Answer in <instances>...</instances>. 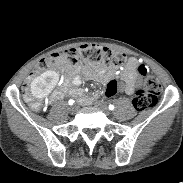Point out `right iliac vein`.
I'll return each instance as SVG.
<instances>
[{
    "mask_svg": "<svg viewBox=\"0 0 183 183\" xmlns=\"http://www.w3.org/2000/svg\"><path fill=\"white\" fill-rule=\"evenodd\" d=\"M76 110H77L76 105L70 107V112L74 113V112H76Z\"/></svg>",
    "mask_w": 183,
    "mask_h": 183,
    "instance_id": "63e3f726",
    "label": "right iliac vein"
}]
</instances>
